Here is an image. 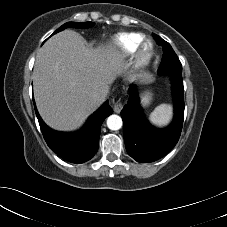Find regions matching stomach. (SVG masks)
<instances>
[{
  "mask_svg": "<svg viewBox=\"0 0 227 227\" xmlns=\"http://www.w3.org/2000/svg\"><path fill=\"white\" fill-rule=\"evenodd\" d=\"M150 100H151V94L150 93H146L144 95V97H143V103H144V105L149 104Z\"/></svg>",
  "mask_w": 227,
  "mask_h": 227,
  "instance_id": "stomach-1",
  "label": "stomach"
}]
</instances>
